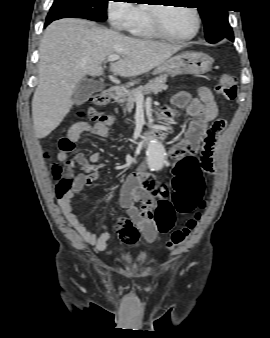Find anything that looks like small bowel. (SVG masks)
<instances>
[{
	"label": "small bowel",
	"mask_w": 270,
	"mask_h": 338,
	"mask_svg": "<svg viewBox=\"0 0 270 338\" xmlns=\"http://www.w3.org/2000/svg\"><path fill=\"white\" fill-rule=\"evenodd\" d=\"M171 103L177 108H186L188 114L193 117L185 139L171 148V155L176 161L173 169V179L176 183L185 184L192 174L202 168V162L198 160L192 151L203 140V145L210 147L211 155L209 158L212 161V150L217 143L222 128L213 126L207 135H201V132L205 130L210 122L214 121L218 114L214 95L208 87L201 86L196 88L195 95L188 91H179L172 96ZM161 111L166 116L173 114L168 107H163ZM83 133L105 137L108 135L107 123L77 122L69 128L66 137L74 144L79 141ZM70 153L71 151H60L58 158L65 160ZM100 158L101 153L99 151L91 153L88 158L83 153H75L72 157V164H75L83 172L77 175L69 189H59L56 197L65 218L82 239L93 246L97 252H104L111 238L108 225L106 223L100 224L102 231L99 235L89 232L86 223L78 218L73 206L74 196L99 179ZM158 186H160V183L146 176L141 167H138L128 175L122 186L119 202L127 210L130 222L134 226L132 227L134 232L129 231L130 226H128V223L120 221L117 225V232L123 242L127 244L137 243L139 237L136 230H139L148 242H154L159 232L167 233L173 227L175 215L171 224L168 227H164L159 222L151 220L147 212L145 214L140 212L134 205L135 201L144 205L148 204L146 190L157 188ZM162 200L165 201L166 199ZM108 254H111V251H108Z\"/></svg>",
	"instance_id": "small-bowel-1"
}]
</instances>
